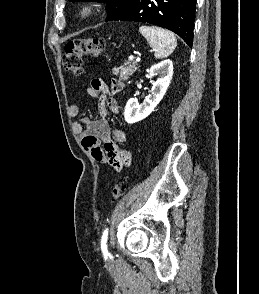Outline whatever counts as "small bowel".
Wrapping results in <instances>:
<instances>
[{
	"label": "small bowel",
	"mask_w": 259,
	"mask_h": 294,
	"mask_svg": "<svg viewBox=\"0 0 259 294\" xmlns=\"http://www.w3.org/2000/svg\"><path fill=\"white\" fill-rule=\"evenodd\" d=\"M122 89L123 83L119 80L114 79L108 86L102 79H93L87 87V94L98 98L99 117H85L73 122V131L81 140L83 148L96 162L109 164L117 172L132 162L131 150L126 146L120 147L126 142L125 133L107 120L109 112H119L118 102L113 95ZM68 114L77 117L79 107L70 105Z\"/></svg>",
	"instance_id": "small-bowel-1"
}]
</instances>
